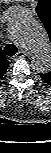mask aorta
<instances>
[{
    "mask_svg": "<svg viewBox=\"0 0 51 153\" xmlns=\"http://www.w3.org/2000/svg\"><path fill=\"white\" fill-rule=\"evenodd\" d=\"M11 38L32 52L31 64L38 73L51 70V45L45 28L28 15L13 17L8 24Z\"/></svg>",
    "mask_w": 51,
    "mask_h": 153,
    "instance_id": "aorta-1",
    "label": "aorta"
}]
</instances>
